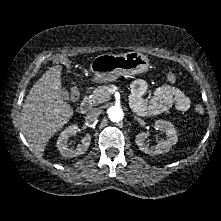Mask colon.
Returning a JSON list of instances; mask_svg holds the SVG:
<instances>
[{
	"mask_svg": "<svg viewBox=\"0 0 221 221\" xmlns=\"http://www.w3.org/2000/svg\"><path fill=\"white\" fill-rule=\"evenodd\" d=\"M166 79L168 82L170 83H173L176 81V76L173 74V73H168L166 75ZM71 97L73 100H76L78 99L79 97V92L76 90V89H73L72 90V93H71ZM194 111L197 115H202L204 113V108L201 106V105H197L195 108H194Z\"/></svg>",
	"mask_w": 221,
	"mask_h": 221,
	"instance_id": "5ec220e1",
	"label": "colon"
}]
</instances>
